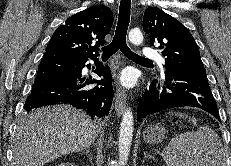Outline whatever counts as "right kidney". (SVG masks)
Listing matches in <instances>:
<instances>
[{"instance_id": "1", "label": "right kidney", "mask_w": 231, "mask_h": 166, "mask_svg": "<svg viewBox=\"0 0 231 166\" xmlns=\"http://www.w3.org/2000/svg\"><path fill=\"white\" fill-rule=\"evenodd\" d=\"M58 166H76V165L73 164V163H62V164H60Z\"/></svg>"}]
</instances>
